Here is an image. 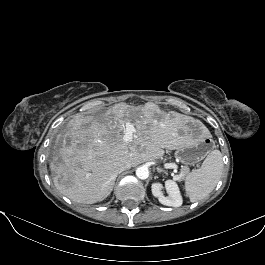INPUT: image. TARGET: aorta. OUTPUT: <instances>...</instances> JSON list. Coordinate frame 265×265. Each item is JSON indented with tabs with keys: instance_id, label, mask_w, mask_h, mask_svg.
Returning a JSON list of instances; mask_svg holds the SVG:
<instances>
[{
	"instance_id": "obj_1",
	"label": "aorta",
	"mask_w": 265,
	"mask_h": 265,
	"mask_svg": "<svg viewBox=\"0 0 265 265\" xmlns=\"http://www.w3.org/2000/svg\"><path fill=\"white\" fill-rule=\"evenodd\" d=\"M136 176L139 178V179H147L149 177V170L147 167L145 166H140L136 169Z\"/></svg>"
}]
</instances>
